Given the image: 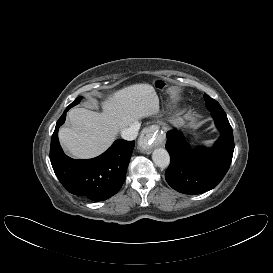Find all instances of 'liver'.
I'll return each instance as SVG.
<instances>
[{"label": "liver", "mask_w": 273, "mask_h": 273, "mask_svg": "<svg viewBox=\"0 0 273 273\" xmlns=\"http://www.w3.org/2000/svg\"><path fill=\"white\" fill-rule=\"evenodd\" d=\"M103 99L101 113L73 108L68 113L70 127L59 130L61 144L74 158L89 159L102 154L120 130L159 112V98L149 84L130 85Z\"/></svg>", "instance_id": "obj_1"}]
</instances>
